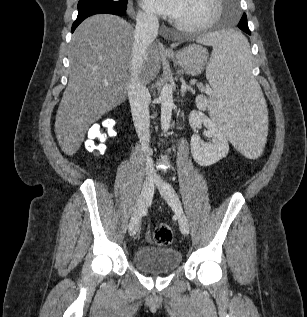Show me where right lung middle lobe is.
I'll use <instances>...</instances> for the list:
<instances>
[{
	"mask_svg": "<svg viewBox=\"0 0 307 317\" xmlns=\"http://www.w3.org/2000/svg\"><path fill=\"white\" fill-rule=\"evenodd\" d=\"M127 0H80L78 2V12L100 8L113 12H122L126 10Z\"/></svg>",
	"mask_w": 307,
	"mask_h": 317,
	"instance_id": "1",
	"label": "right lung middle lobe"
}]
</instances>
